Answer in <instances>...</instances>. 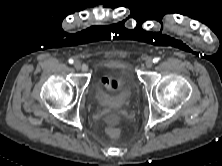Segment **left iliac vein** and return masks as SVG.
<instances>
[{
  "mask_svg": "<svg viewBox=\"0 0 222 166\" xmlns=\"http://www.w3.org/2000/svg\"><path fill=\"white\" fill-rule=\"evenodd\" d=\"M145 65H146L147 68H151L153 66V60L152 59H148L145 62Z\"/></svg>",
  "mask_w": 222,
  "mask_h": 166,
  "instance_id": "obj_1",
  "label": "left iliac vein"
}]
</instances>
